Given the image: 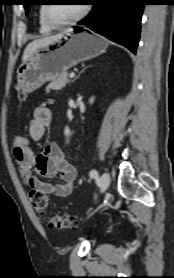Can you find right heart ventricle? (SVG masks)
I'll return each mask as SVG.
<instances>
[{
	"label": "right heart ventricle",
	"instance_id": "right-heart-ventricle-1",
	"mask_svg": "<svg viewBox=\"0 0 174 278\" xmlns=\"http://www.w3.org/2000/svg\"><path fill=\"white\" fill-rule=\"evenodd\" d=\"M42 9H43V6H41L38 11L39 30L43 34H48L52 31L53 28L48 26L47 23L45 22L43 15H42Z\"/></svg>",
	"mask_w": 174,
	"mask_h": 278
}]
</instances>
